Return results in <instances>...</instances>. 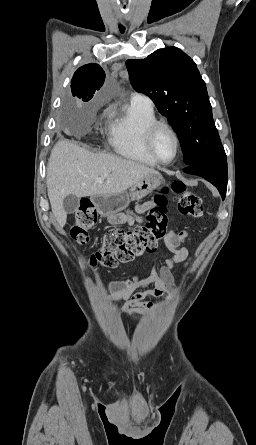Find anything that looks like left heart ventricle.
<instances>
[{
  "label": "left heart ventricle",
  "mask_w": 256,
  "mask_h": 445,
  "mask_svg": "<svg viewBox=\"0 0 256 445\" xmlns=\"http://www.w3.org/2000/svg\"><path fill=\"white\" fill-rule=\"evenodd\" d=\"M154 147L159 158L164 161L171 160L176 151L174 138L166 129H160L157 132Z\"/></svg>",
  "instance_id": "left-heart-ventricle-1"
}]
</instances>
